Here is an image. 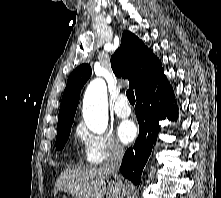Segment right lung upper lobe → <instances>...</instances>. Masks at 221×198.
<instances>
[{
	"mask_svg": "<svg viewBox=\"0 0 221 198\" xmlns=\"http://www.w3.org/2000/svg\"><path fill=\"white\" fill-rule=\"evenodd\" d=\"M161 66L143 41L128 31L123 32L121 45L111 57V67L115 75L130 81V87L135 89L136 94L163 72ZM90 75V66L82 64L69 76L61 100L57 131L72 126L81 89Z\"/></svg>",
	"mask_w": 221,
	"mask_h": 198,
	"instance_id": "right-lung-upper-lobe-1",
	"label": "right lung upper lobe"
}]
</instances>
